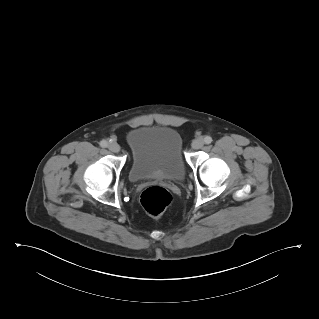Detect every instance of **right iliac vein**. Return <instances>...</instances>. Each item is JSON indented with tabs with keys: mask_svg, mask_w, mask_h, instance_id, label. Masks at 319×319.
<instances>
[{
	"mask_svg": "<svg viewBox=\"0 0 319 319\" xmlns=\"http://www.w3.org/2000/svg\"><path fill=\"white\" fill-rule=\"evenodd\" d=\"M109 150L114 152V153H118L120 151V146L119 144H117L116 142H112L109 144L108 146Z\"/></svg>",
	"mask_w": 319,
	"mask_h": 319,
	"instance_id": "1",
	"label": "right iliac vein"
}]
</instances>
